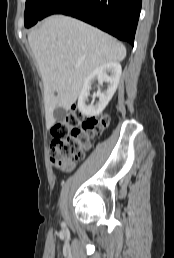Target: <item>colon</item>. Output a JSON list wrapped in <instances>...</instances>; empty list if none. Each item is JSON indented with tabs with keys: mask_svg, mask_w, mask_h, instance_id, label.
Masks as SVG:
<instances>
[{
	"mask_svg": "<svg viewBox=\"0 0 174 258\" xmlns=\"http://www.w3.org/2000/svg\"><path fill=\"white\" fill-rule=\"evenodd\" d=\"M108 123L107 115L84 119L76 107L71 109L65 118L55 123L51 129L50 159L55 167L63 171L72 169Z\"/></svg>",
	"mask_w": 174,
	"mask_h": 258,
	"instance_id": "1",
	"label": "colon"
}]
</instances>
